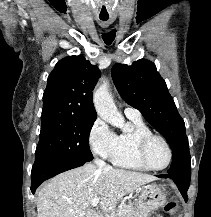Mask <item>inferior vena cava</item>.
<instances>
[{
  "label": "inferior vena cava",
  "instance_id": "obj_1",
  "mask_svg": "<svg viewBox=\"0 0 211 217\" xmlns=\"http://www.w3.org/2000/svg\"><path fill=\"white\" fill-rule=\"evenodd\" d=\"M94 163L96 164V166L97 167H99V168H104V167H106V163L103 161V160H101V159H95L94 160Z\"/></svg>",
  "mask_w": 211,
  "mask_h": 217
}]
</instances>
